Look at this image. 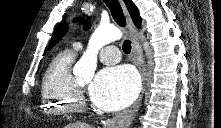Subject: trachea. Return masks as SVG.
<instances>
[{"label": "trachea", "instance_id": "obj_1", "mask_svg": "<svg viewBox=\"0 0 221 128\" xmlns=\"http://www.w3.org/2000/svg\"><path fill=\"white\" fill-rule=\"evenodd\" d=\"M103 2L106 4V6L109 8L113 19L115 22L121 26L125 27L126 26V20L121 8V5L118 0H103ZM123 52L126 54H129L131 51V42L129 40H125L123 42Z\"/></svg>", "mask_w": 221, "mask_h": 128}]
</instances>
